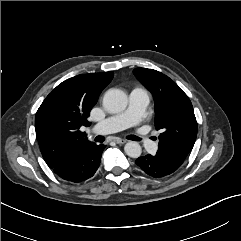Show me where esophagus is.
<instances>
[{
    "instance_id": "obj_1",
    "label": "esophagus",
    "mask_w": 241,
    "mask_h": 241,
    "mask_svg": "<svg viewBox=\"0 0 241 241\" xmlns=\"http://www.w3.org/2000/svg\"><path fill=\"white\" fill-rule=\"evenodd\" d=\"M117 144H125L126 143V140L124 139H120V138H117L114 140Z\"/></svg>"
}]
</instances>
